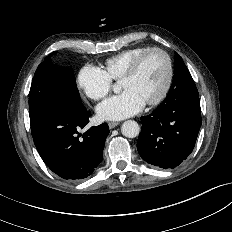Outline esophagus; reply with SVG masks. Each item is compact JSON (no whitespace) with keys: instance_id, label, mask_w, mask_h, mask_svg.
I'll list each match as a JSON object with an SVG mask.
<instances>
[{"instance_id":"1","label":"esophagus","mask_w":232,"mask_h":232,"mask_svg":"<svg viewBox=\"0 0 232 232\" xmlns=\"http://www.w3.org/2000/svg\"><path fill=\"white\" fill-rule=\"evenodd\" d=\"M118 125H119L118 122H109V123H108V126H109L110 129H113V128H115V127L118 126Z\"/></svg>"}]
</instances>
